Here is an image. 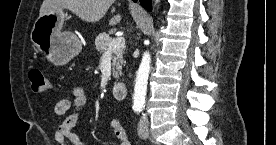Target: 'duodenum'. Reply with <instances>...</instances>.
<instances>
[{
    "label": "duodenum",
    "instance_id": "1",
    "mask_svg": "<svg viewBox=\"0 0 276 145\" xmlns=\"http://www.w3.org/2000/svg\"><path fill=\"white\" fill-rule=\"evenodd\" d=\"M112 93L115 99L124 100L127 97V85L124 82H117L113 85Z\"/></svg>",
    "mask_w": 276,
    "mask_h": 145
}]
</instances>
